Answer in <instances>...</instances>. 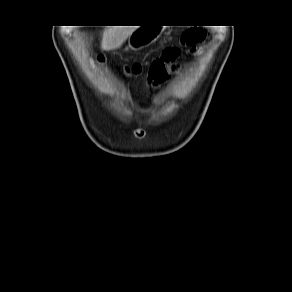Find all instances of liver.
Returning <instances> with one entry per match:
<instances>
[{
	"mask_svg": "<svg viewBox=\"0 0 292 292\" xmlns=\"http://www.w3.org/2000/svg\"><path fill=\"white\" fill-rule=\"evenodd\" d=\"M137 27L119 26L104 31L101 47L103 50L119 48Z\"/></svg>",
	"mask_w": 292,
	"mask_h": 292,
	"instance_id": "liver-1",
	"label": "liver"
}]
</instances>
